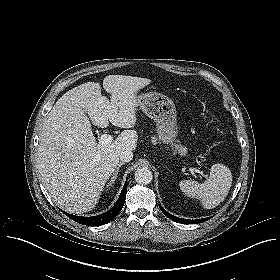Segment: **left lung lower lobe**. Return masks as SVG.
Returning a JSON list of instances; mask_svg holds the SVG:
<instances>
[{
  "instance_id": "1",
  "label": "left lung lower lobe",
  "mask_w": 280,
  "mask_h": 280,
  "mask_svg": "<svg viewBox=\"0 0 280 280\" xmlns=\"http://www.w3.org/2000/svg\"><path fill=\"white\" fill-rule=\"evenodd\" d=\"M160 209L169 219H171L175 222H178V223L196 224V223H202V222L207 221L209 219V218H203V219H197V220L182 219V218H178V217H175V216L171 215L166 210H164L161 206H160Z\"/></svg>"
}]
</instances>
